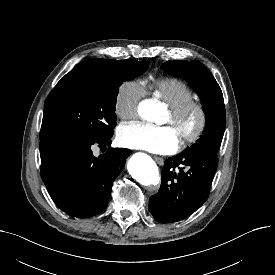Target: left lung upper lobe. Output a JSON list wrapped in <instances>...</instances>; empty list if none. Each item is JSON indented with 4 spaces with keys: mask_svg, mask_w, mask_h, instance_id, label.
Masks as SVG:
<instances>
[{
    "mask_svg": "<svg viewBox=\"0 0 275 275\" xmlns=\"http://www.w3.org/2000/svg\"><path fill=\"white\" fill-rule=\"evenodd\" d=\"M161 68L176 77H185L199 95L206 114V127L198 142L183 152L219 151L225 130V106L221 88L209 70L198 61H168Z\"/></svg>",
    "mask_w": 275,
    "mask_h": 275,
    "instance_id": "left-lung-upper-lobe-1",
    "label": "left lung upper lobe"
}]
</instances>
